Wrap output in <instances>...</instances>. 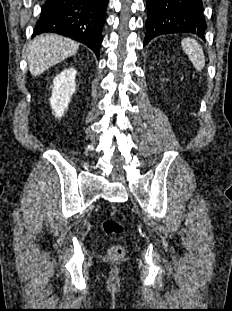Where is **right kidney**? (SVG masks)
Here are the masks:
<instances>
[{
    "instance_id": "obj_1",
    "label": "right kidney",
    "mask_w": 232,
    "mask_h": 311,
    "mask_svg": "<svg viewBox=\"0 0 232 311\" xmlns=\"http://www.w3.org/2000/svg\"><path fill=\"white\" fill-rule=\"evenodd\" d=\"M76 73L77 71L73 67H70L63 70L53 80L54 86L52 87L50 104L53 109V114L58 118L63 116L71 100V96L75 93Z\"/></svg>"
}]
</instances>
